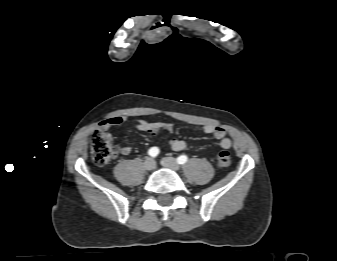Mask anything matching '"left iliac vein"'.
I'll use <instances>...</instances> for the list:
<instances>
[{
  "label": "left iliac vein",
  "instance_id": "obj_1",
  "mask_svg": "<svg viewBox=\"0 0 337 261\" xmlns=\"http://www.w3.org/2000/svg\"><path fill=\"white\" fill-rule=\"evenodd\" d=\"M161 164L166 167V168H169L171 170H174V171H178L180 166L179 164L177 163V161L172 158V157H165L161 160Z\"/></svg>",
  "mask_w": 337,
  "mask_h": 261
}]
</instances>
